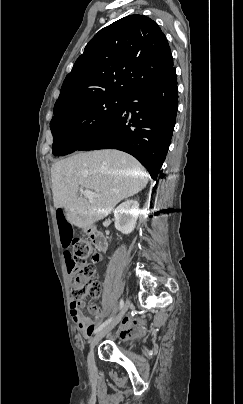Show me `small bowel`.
<instances>
[{"label": "small bowel", "instance_id": "obj_1", "mask_svg": "<svg viewBox=\"0 0 243 404\" xmlns=\"http://www.w3.org/2000/svg\"><path fill=\"white\" fill-rule=\"evenodd\" d=\"M57 222L60 232L61 243L64 248H67L72 240V228L70 224L66 221L62 211L59 209L57 211ZM72 254L68 250L64 251V259L67 265V268L70 272L73 271L72 264ZM85 306V302L83 300L72 301L71 303V316L76 325V327L80 330L83 337L89 338L92 333L96 330L98 323L101 320V314L96 311L95 312V320H91L84 316L82 312V308ZM142 327L137 324L136 320L130 317L124 318L120 325L121 332H132V331H141Z\"/></svg>", "mask_w": 243, "mask_h": 404}]
</instances>
